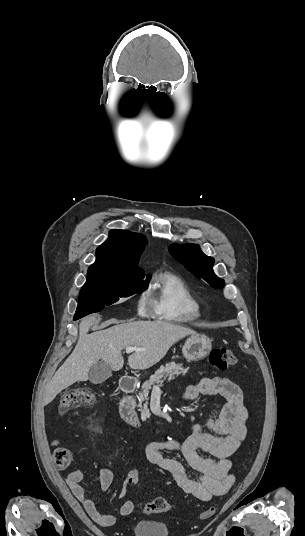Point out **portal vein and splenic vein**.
I'll use <instances>...</instances> for the list:
<instances>
[{"label":"portal vein and splenic vein","mask_w":305,"mask_h":536,"mask_svg":"<svg viewBox=\"0 0 305 536\" xmlns=\"http://www.w3.org/2000/svg\"><path fill=\"white\" fill-rule=\"evenodd\" d=\"M141 350H146V348H126V354H131V352H141ZM158 390V386H154V390Z\"/></svg>","instance_id":"1"}]
</instances>
